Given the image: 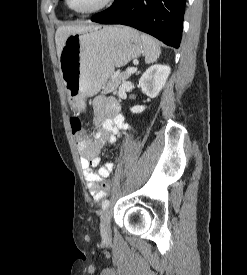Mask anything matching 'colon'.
Returning a JSON list of instances; mask_svg holds the SVG:
<instances>
[{
	"label": "colon",
	"mask_w": 247,
	"mask_h": 275,
	"mask_svg": "<svg viewBox=\"0 0 247 275\" xmlns=\"http://www.w3.org/2000/svg\"><path fill=\"white\" fill-rule=\"evenodd\" d=\"M72 134L77 142H81L85 137V130L79 117L74 116L70 120ZM112 188L111 181H105L102 184V190L107 194Z\"/></svg>",
	"instance_id": "1"
}]
</instances>
